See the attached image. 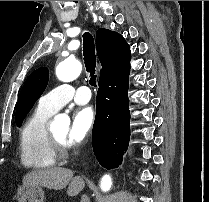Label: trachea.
<instances>
[{"label": "trachea", "mask_w": 209, "mask_h": 202, "mask_svg": "<svg viewBox=\"0 0 209 202\" xmlns=\"http://www.w3.org/2000/svg\"><path fill=\"white\" fill-rule=\"evenodd\" d=\"M83 56L86 71L90 74L89 83L91 86L96 87V54H95V44L94 38L90 33L83 34Z\"/></svg>", "instance_id": "obj_1"}]
</instances>
